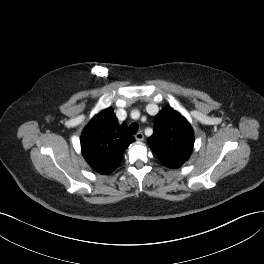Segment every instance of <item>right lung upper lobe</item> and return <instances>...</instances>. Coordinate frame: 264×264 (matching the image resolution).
<instances>
[{
  "label": "right lung upper lobe",
  "instance_id": "obj_1",
  "mask_svg": "<svg viewBox=\"0 0 264 264\" xmlns=\"http://www.w3.org/2000/svg\"><path fill=\"white\" fill-rule=\"evenodd\" d=\"M134 142L126 125L120 124L112 109L95 115L81 135L82 154L97 173L109 175L120 164L128 146Z\"/></svg>",
  "mask_w": 264,
  "mask_h": 264
}]
</instances>
